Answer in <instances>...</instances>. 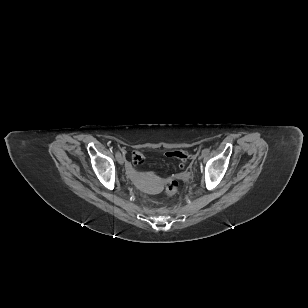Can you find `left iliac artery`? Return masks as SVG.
Instances as JSON below:
<instances>
[{"label": "left iliac artery", "instance_id": "left-iliac-artery-1", "mask_svg": "<svg viewBox=\"0 0 308 308\" xmlns=\"http://www.w3.org/2000/svg\"><path fill=\"white\" fill-rule=\"evenodd\" d=\"M203 151H205L206 153H209V149H204Z\"/></svg>", "mask_w": 308, "mask_h": 308}]
</instances>
